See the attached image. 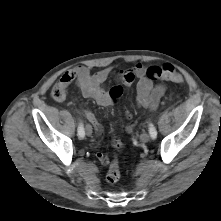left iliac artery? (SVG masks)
<instances>
[{
    "label": "left iliac artery",
    "instance_id": "1",
    "mask_svg": "<svg viewBox=\"0 0 221 221\" xmlns=\"http://www.w3.org/2000/svg\"><path fill=\"white\" fill-rule=\"evenodd\" d=\"M149 133H150L152 139H155L157 137L156 128H155L154 124L151 122L149 123Z\"/></svg>",
    "mask_w": 221,
    "mask_h": 221
}]
</instances>
